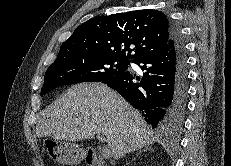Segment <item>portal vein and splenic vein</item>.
I'll list each match as a JSON object with an SVG mask.
<instances>
[{
	"label": "portal vein and splenic vein",
	"instance_id": "obj_1",
	"mask_svg": "<svg viewBox=\"0 0 231 166\" xmlns=\"http://www.w3.org/2000/svg\"><path fill=\"white\" fill-rule=\"evenodd\" d=\"M97 139H98L100 142H102V143H104V142L106 141L104 135L101 134V133H98V134H97ZM110 155H111V153H110L109 147L104 146V147L102 148V156L104 157V159H109Z\"/></svg>",
	"mask_w": 231,
	"mask_h": 166
}]
</instances>
